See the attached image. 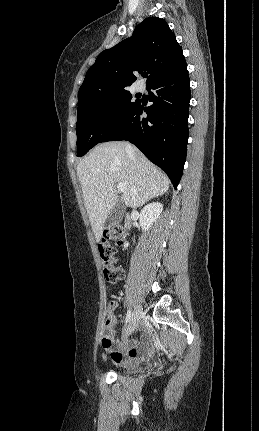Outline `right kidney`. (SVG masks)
<instances>
[{"label": "right kidney", "instance_id": "right-kidney-1", "mask_svg": "<svg viewBox=\"0 0 259 431\" xmlns=\"http://www.w3.org/2000/svg\"><path fill=\"white\" fill-rule=\"evenodd\" d=\"M163 211V205L159 202H153L146 205L139 217V222L143 230L148 231L154 222L160 217Z\"/></svg>", "mask_w": 259, "mask_h": 431}]
</instances>
